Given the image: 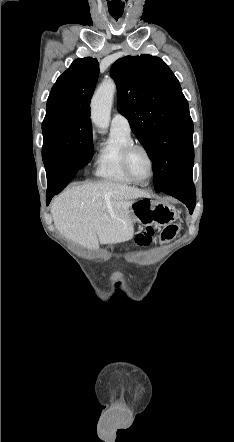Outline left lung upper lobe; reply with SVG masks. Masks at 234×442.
Returning a JSON list of instances; mask_svg holds the SVG:
<instances>
[{
	"label": "left lung upper lobe",
	"instance_id": "left-lung-upper-lobe-1",
	"mask_svg": "<svg viewBox=\"0 0 234 442\" xmlns=\"http://www.w3.org/2000/svg\"><path fill=\"white\" fill-rule=\"evenodd\" d=\"M110 74L117 84L118 111L152 160L155 190L160 192L194 159L188 102L177 78L158 57H123Z\"/></svg>",
	"mask_w": 234,
	"mask_h": 442
}]
</instances>
